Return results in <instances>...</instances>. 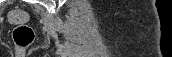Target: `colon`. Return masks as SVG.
<instances>
[{
  "mask_svg": "<svg viewBox=\"0 0 172 57\" xmlns=\"http://www.w3.org/2000/svg\"><path fill=\"white\" fill-rule=\"evenodd\" d=\"M27 18L28 15L21 10H11L8 14L10 23L15 25L12 37L20 56H23L35 38L33 28L25 24Z\"/></svg>",
  "mask_w": 172,
  "mask_h": 57,
  "instance_id": "1",
  "label": "colon"
}]
</instances>
